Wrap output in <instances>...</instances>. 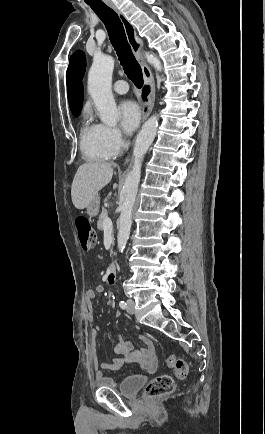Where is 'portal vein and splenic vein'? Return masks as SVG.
Masks as SVG:
<instances>
[{
  "label": "portal vein and splenic vein",
  "mask_w": 265,
  "mask_h": 434,
  "mask_svg": "<svg viewBox=\"0 0 265 434\" xmlns=\"http://www.w3.org/2000/svg\"><path fill=\"white\" fill-rule=\"evenodd\" d=\"M103 228L104 230H112L113 226L110 218H105Z\"/></svg>",
  "instance_id": "obj_1"
}]
</instances>
